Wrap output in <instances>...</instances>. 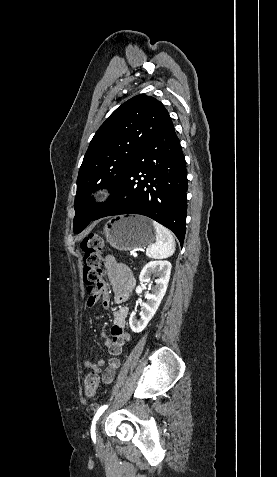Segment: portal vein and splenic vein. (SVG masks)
<instances>
[{
  "mask_svg": "<svg viewBox=\"0 0 277 477\" xmlns=\"http://www.w3.org/2000/svg\"><path fill=\"white\" fill-rule=\"evenodd\" d=\"M133 257H137V254H136V253H133Z\"/></svg>",
  "mask_w": 277,
  "mask_h": 477,
  "instance_id": "portal-vein-and-splenic-vein-1",
  "label": "portal vein and splenic vein"
}]
</instances>
